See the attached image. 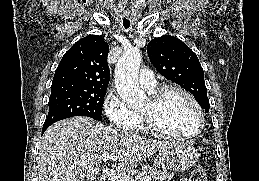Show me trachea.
Here are the masks:
<instances>
[{"instance_id": "obj_1", "label": "trachea", "mask_w": 259, "mask_h": 181, "mask_svg": "<svg viewBox=\"0 0 259 181\" xmlns=\"http://www.w3.org/2000/svg\"><path fill=\"white\" fill-rule=\"evenodd\" d=\"M123 26H124L125 29H128L129 26H130V23L127 22V21H123Z\"/></svg>"}]
</instances>
